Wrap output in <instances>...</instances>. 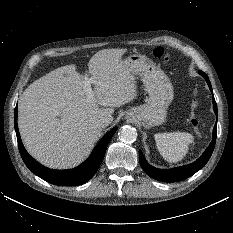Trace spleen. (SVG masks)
<instances>
[{"label":"spleen","mask_w":233,"mask_h":233,"mask_svg":"<svg viewBox=\"0 0 233 233\" xmlns=\"http://www.w3.org/2000/svg\"><path fill=\"white\" fill-rule=\"evenodd\" d=\"M156 146L162 157L168 162L181 161L194 142V137L186 132H164L155 135Z\"/></svg>","instance_id":"1"}]
</instances>
